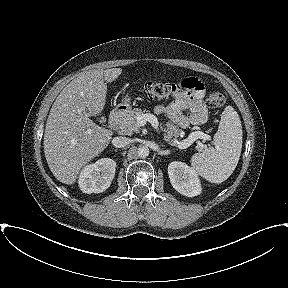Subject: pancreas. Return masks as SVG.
<instances>
[{
    "label": "pancreas",
    "mask_w": 288,
    "mask_h": 288,
    "mask_svg": "<svg viewBox=\"0 0 288 288\" xmlns=\"http://www.w3.org/2000/svg\"><path fill=\"white\" fill-rule=\"evenodd\" d=\"M142 114L143 111L138 108L129 110L123 117L118 120V132L122 135L138 133L140 126L137 123V117ZM163 131L165 132L164 140L172 146H178V137L184 135V132L179 129L178 126H175L172 123H167Z\"/></svg>",
    "instance_id": "obj_1"
}]
</instances>
